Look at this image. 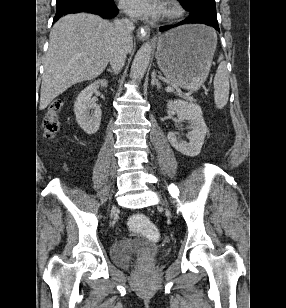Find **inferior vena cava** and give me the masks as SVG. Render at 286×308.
<instances>
[{
    "label": "inferior vena cava",
    "instance_id": "obj_1",
    "mask_svg": "<svg viewBox=\"0 0 286 308\" xmlns=\"http://www.w3.org/2000/svg\"><path fill=\"white\" fill-rule=\"evenodd\" d=\"M114 29L116 39L109 57L112 70L117 74L124 66L127 46L126 43L130 39L132 31L135 29L133 21L129 19H120L114 21Z\"/></svg>",
    "mask_w": 286,
    "mask_h": 308
}]
</instances>
